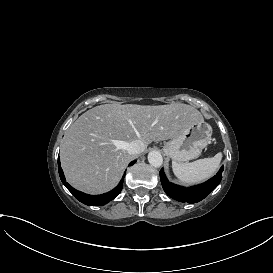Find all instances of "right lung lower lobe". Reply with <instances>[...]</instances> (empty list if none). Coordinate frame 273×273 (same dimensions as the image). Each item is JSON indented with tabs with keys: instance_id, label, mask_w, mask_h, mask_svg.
I'll return each instance as SVG.
<instances>
[{
	"instance_id": "obj_1",
	"label": "right lung lower lobe",
	"mask_w": 273,
	"mask_h": 273,
	"mask_svg": "<svg viewBox=\"0 0 273 273\" xmlns=\"http://www.w3.org/2000/svg\"><path fill=\"white\" fill-rule=\"evenodd\" d=\"M136 161H133L130 163V165H133ZM58 171H59V176L62 181V183L66 186V188L75 196L77 200L82 202L85 205H90V206H102L105 205L106 203L110 202L113 200L115 197H117L123 186V180L120 181L119 185L111 190L108 193L102 194V195H97V196H91L87 195L85 193H82L80 191H77L73 187H71L65 180V177L63 175L62 168L60 167V160L58 158Z\"/></svg>"
}]
</instances>
